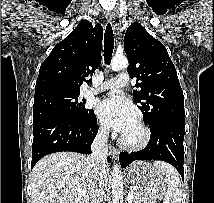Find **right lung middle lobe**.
<instances>
[{
    "label": "right lung middle lobe",
    "instance_id": "obj_1",
    "mask_svg": "<svg viewBox=\"0 0 214 203\" xmlns=\"http://www.w3.org/2000/svg\"><path fill=\"white\" fill-rule=\"evenodd\" d=\"M79 95L80 93H51L35 98L33 121L51 115L86 118L93 110L85 108V101H80Z\"/></svg>",
    "mask_w": 214,
    "mask_h": 203
}]
</instances>
